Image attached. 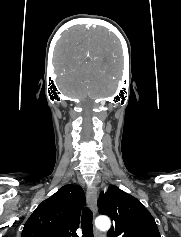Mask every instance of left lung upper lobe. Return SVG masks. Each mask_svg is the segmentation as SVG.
<instances>
[{"mask_svg": "<svg viewBox=\"0 0 181 237\" xmlns=\"http://www.w3.org/2000/svg\"><path fill=\"white\" fill-rule=\"evenodd\" d=\"M98 207L100 214L113 220L107 237H161L153 216L144 205L116 186L100 194Z\"/></svg>", "mask_w": 181, "mask_h": 237, "instance_id": "obj_1", "label": "left lung upper lobe"}]
</instances>
